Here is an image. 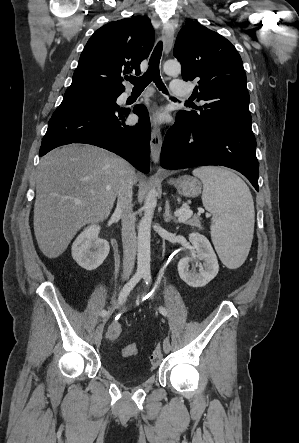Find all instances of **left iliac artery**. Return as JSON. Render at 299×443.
Listing matches in <instances>:
<instances>
[{
    "mask_svg": "<svg viewBox=\"0 0 299 443\" xmlns=\"http://www.w3.org/2000/svg\"><path fill=\"white\" fill-rule=\"evenodd\" d=\"M144 280H145L147 285H149L151 283V274H150V272H145L144 273ZM159 311H160V313L162 315H165V316L168 315V311L165 308H163V307H160Z\"/></svg>",
    "mask_w": 299,
    "mask_h": 443,
    "instance_id": "1",
    "label": "left iliac artery"
}]
</instances>
